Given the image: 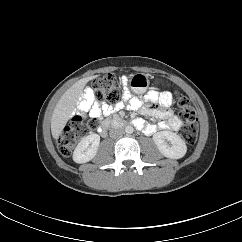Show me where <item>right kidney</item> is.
I'll return each instance as SVG.
<instances>
[{
	"mask_svg": "<svg viewBox=\"0 0 242 242\" xmlns=\"http://www.w3.org/2000/svg\"><path fill=\"white\" fill-rule=\"evenodd\" d=\"M100 136L98 134H90L84 137L76 146L73 153V160L76 163H86L92 160L98 150Z\"/></svg>",
	"mask_w": 242,
	"mask_h": 242,
	"instance_id": "right-kidney-1",
	"label": "right kidney"
}]
</instances>
